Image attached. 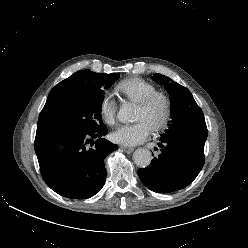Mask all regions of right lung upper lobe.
<instances>
[{
  "instance_id": "1",
  "label": "right lung upper lobe",
  "mask_w": 248,
  "mask_h": 248,
  "mask_svg": "<svg viewBox=\"0 0 248 248\" xmlns=\"http://www.w3.org/2000/svg\"><path fill=\"white\" fill-rule=\"evenodd\" d=\"M85 80V71H78L69 78L58 83L49 93L46 104L60 101L72 93L79 91Z\"/></svg>"
}]
</instances>
